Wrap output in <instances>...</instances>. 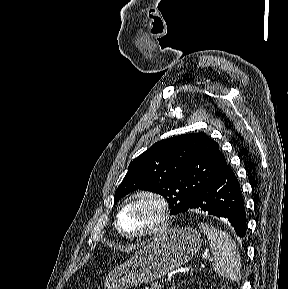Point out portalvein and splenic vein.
Here are the masks:
<instances>
[{"label": "portal vein and splenic vein", "instance_id": "portal-vein-and-splenic-vein-1", "mask_svg": "<svg viewBox=\"0 0 288 289\" xmlns=\"http://www.w3.org/2000/svg\"><path fill=\"white\" fill-rule=\"evenodd\" d=\"M170 281H171V278H167V279L165 280V283L168 284V283H170Z\"/></svg>", "mask_w": 288, "mask_h": 289}]
</instances>
